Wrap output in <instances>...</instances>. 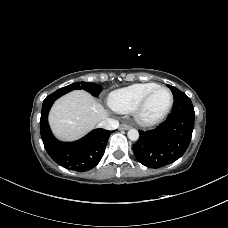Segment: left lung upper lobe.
Masks as SVG:
<instances>
[{"mask_svg": "<svg viewBox=\"0 0 228 228\" xmlns=\"http://www.w3.org/2000/svg\"><path fill=\"white\" fill-rule=\"evenodd\" d=\"M168 87L170 88V90L172 91V94L174 96V99H177L179 98L181 95H183L184 93L180 90H178L177 88L171 86V85H168Z\"/></svg>", "mask_w": 228, "mask_h": 228, "instance_id": "1", "label": "left lung upper lobe"}]
</instances>
